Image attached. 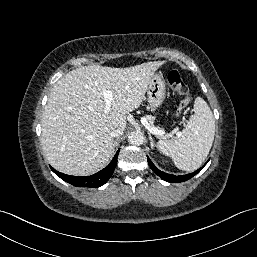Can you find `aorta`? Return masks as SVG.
<instances>
[{
	"mask_svg": "<svg viewBox=\"0 0 257 257\" xmlns=\"http://www.w3.org/2000/svg\"><path fill=\"white\" fill-rule=\"evenodd\" d=\"M128 142L131 145H141L144 142V136L141 132L133 131L128 136Z\"/></svg>",
	"mask_w": 257,
	"mask_h": 257,
	"instance_id": "obj_1",
	"label": "aorta"
}]
</instances>
